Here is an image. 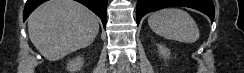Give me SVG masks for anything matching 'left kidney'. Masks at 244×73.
Listing matches in <instances>:
<instances>
[{
	"instance_id": "obj_1",
	"label": "left kidney",
	"mask_w": 244,
	"mask_h": 73,
	"mask_svg": "<svg viewBox=\"0 0 244 73\" xmlns=\"http://www.w3.org/2000/svg\"><path fill=\"white\" fill-rule=\"evenodd\" d=\"M159 54L163 59H168L170 57V50L164 45H158Z\"/></svg>"
}]
</instances>
